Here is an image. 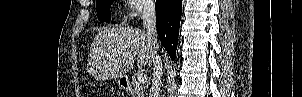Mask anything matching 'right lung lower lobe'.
<instances>
[{
    "instance_id": "right-lung-lower-lobe-1",
    "label": "right lung lower lobe",
    "mask_w": 302,
    "mask_h": 97,
    "mask_svg": "<svg viewBox=\"0 0 302 97\" xmlns=\"http://www.w3.org/2000/svg\"><path fill=\"white\" fill-rule=\"evenodd\" d=\"M155 8L159 39L171 59L174 60L178 43L182 0H156Z\"/></svg>"
}]
</instances>
